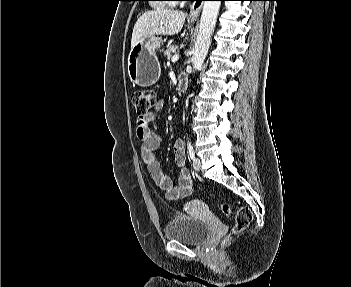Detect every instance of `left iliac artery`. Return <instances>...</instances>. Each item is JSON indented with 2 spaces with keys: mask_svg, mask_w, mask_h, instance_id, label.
Segmentation results:
<instances>
[{
  "mask_svg": "<svg viewBox=\"0 0 351 287\" xmlns=\"http://www.w3.org/2000/svg\"><path fill=\"white\" fill-rule=\"evenodd\" d=\"M187 146H188V153H189L190 158L194 159L195 158V152H194L193 146H192L191 142L189 141V139H188Z\"/></svg>",
  "mask_w": 351,
  "mask_h": 287,
  "instance_id": "obj_1",
  "label": "left iliac artery"
}]
</instances>
